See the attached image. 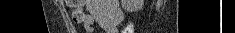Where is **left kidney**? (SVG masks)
<instances>
[{"instance_id":"5707ae66","label":"left kidney","mask_w":235,"mask_h":33,"mask_svg":"<svg viewBox=\"0 0 235 33\" xmlns=\"http://www.w3.org/2000/svg\"><path fill=\"white\" fill-rule=\"evenodd\" d=\"M121 5L127 12H138L143 9L144 0H121Z\"/></svg>"}]
</instances>
